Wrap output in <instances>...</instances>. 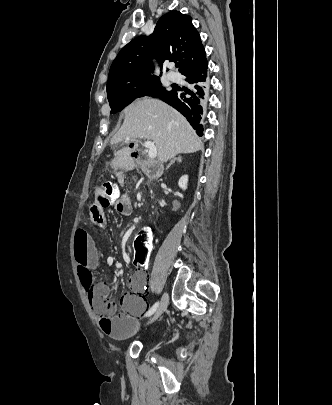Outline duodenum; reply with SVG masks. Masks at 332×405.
Instances as JSON below:
<instances>
[{
  "instance_id": "1",
  "label": "duodenum",
  "mask_w": 332,
  "mask_h": 405,
  "mask_svg": "<svg viewBox=\"0 0 332 405\" xmlns=\"http://www.w3.org/2000/svg\"><path fill=\"white\" fill-rule=\"evenodd\" d=\"M133 158H137L136 154H132Z\"/></svg>"
}]
</instances>
